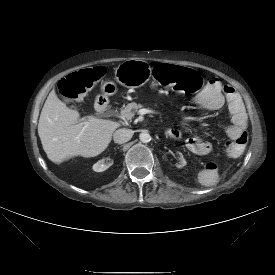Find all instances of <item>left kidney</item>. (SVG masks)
<instances>
[{"label": "left kidney", "mask_w": 275, "mask_h": 275, "mask_svg": "<svg viewBox=\"0 0 275 275\" xmlns=\"http://www.w3.org/2000/svg\"><path fill=\"white\" fill-rule=\"evenodd\" d=\"M171 158H172V161L174 162L173 164L175 168L179 169L186 165V161L180 152H177V151L173 152Z\"/></svg>", "instance_id": "1"}]
</instances>
